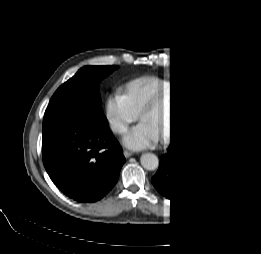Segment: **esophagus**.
Returning a JSON list of instances; mask_svg holds the SVG:
<instances>
[{
  "mask_svg": "<svg viewBox=\"0 0 261 254\" xmlns=\"http://www.w3.org/2000/svg\"><path fill=\"white\" fill-rule=\"evenodd\" d=\"M123 155H124L126 158H128V157H130V156L132 155V152H129V151H127V150H124V151H123Z\"/></svg>",
  "mask_w": 261,
  "mask_h": 254,
  "instance_id": "34e87169",
  "label": "esophagus"
}]
</instances>
